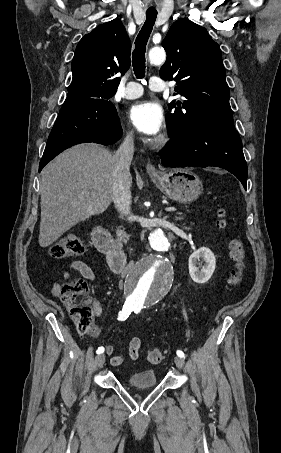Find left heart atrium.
<instances>
[{
	"label": "left heart atrium",
	"instance_id": "1",
	"mask_svg": "<svg viewBox=\"0 0 281 453\" xmlns=\"http://www.w3.org/2000/svg\"><path fill=\"white\" fill-rule=\"evenodd\" d=\"M127 116L138 131L150 136L158 134L164 123L163 110L151 101L135 103L128 110Z\"/></svg>",
	"mask_w": 281,
	"mask_h": 453
}]
</instances>
